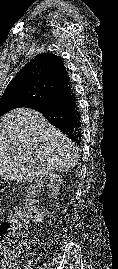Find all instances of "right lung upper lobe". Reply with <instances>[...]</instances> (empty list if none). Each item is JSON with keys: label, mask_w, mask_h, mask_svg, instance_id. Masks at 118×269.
<instances>
[{"label": "right lung upper lobe", "mask_w": 118, "mask_h": 269, "mask_svg": "<svg viewBox=\"0 0 118 269\" xmlns=\"http://www.w3.org/2000/svg\"><path fill=\"white\" fill-rule=\"evenodd\" d=\"M71 85L63 59L42 53L27 63L12 79L3 95L26 94L33 97L27 106Z\"/></svg>", "instance_id": "cb5924a9"}]
</instances>
